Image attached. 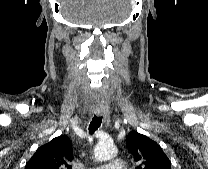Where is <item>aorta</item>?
Returning <instances> with one entry per match:
<instances>
[{
	"label": "aorta",
	"mask_w": 208,
	"mask_h": 169,
	"mask_svg": "<svg viewBox=\"0 0 208 169\" xmlns=\"http://www.w3.org/2000/svg\"><path fill=\"white\" fill-rule=\"evenodd\" d=\"M118 150L113 143H98L94 150L95 159L98 161H107L116 157Z\"/></svg>",
	"instance_id": "aorta-1"
}]
</instances>
